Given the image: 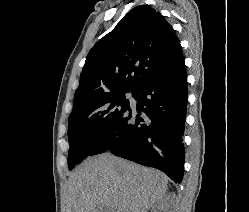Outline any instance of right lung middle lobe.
<instances>
[{
  "instance_id": "obj_1",
  "label": "right lung middle lobe",
  "mask_w": 249,
  "mask_h": 212,
  "mask_svg": "<svg viewBox=\"0 0 249 212\" xmlns=\"http://www.w3.org/2000/svg\"><path fill=\"white\" fill-rule=\"evenodd\" d=\"M126 93L129 92L104 95L73 108L68 122L70 170L86 157L95 155L107 133L123 117L130 107Z\"/></svg>"
}]
</instances>
